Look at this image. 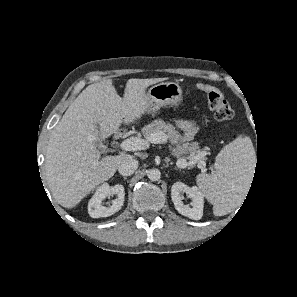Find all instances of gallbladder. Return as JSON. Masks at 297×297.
Wrapping results in <instances>:
<instances>
[{
  "label": "gallbladder",
  "instance_id": "bac80fb5",
  "mask_svg": "<svg viewBox=\"0 0 297 297\" xmlns=\"http://www.w3.org/2000/svg\"><path fill=\"white\" fill-rule=\"evenodd\" d=\"M95 143H96V145H97L98 147H100V144L103 143V140L100 138V136H98V139H97V141H96ZM101 149L103 150V147H101Z\"/></svg>",
  "mask_w": 297,
  "mask_h": 297
}]
</instances>
